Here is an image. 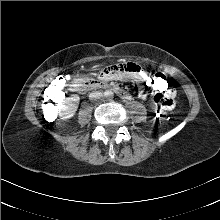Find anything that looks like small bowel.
<instances>
[{
    "label": "small bowel",
    "mask_w": 220,
    "mask_h": 220,
    "mask_svg": "<svg viewBox=\"0 0 220 220\" xmlns=\"http://www.w3.org/2000/svg\"><path fill=\"white\" fill-rule=\"evenodd\" d=\"M98 74L99 76L91 78L90 82L92 86H101L104 85L106 82H109L110 80H122L124 78H130L136 82L144 84V78L147 75V73L144 72L138 64L131 60L110 66L109 68L106 67L100 69ZM161 95L170 96L174 98L175 90L169 85L168 90ZM139 97L142 100H147L149 98V95L147 92L142 91L139 94ZM126 98H129L128 94Z\"/></svg>",
    "instance_id": "small-bowel-1"
}]
</instances>
